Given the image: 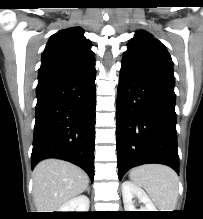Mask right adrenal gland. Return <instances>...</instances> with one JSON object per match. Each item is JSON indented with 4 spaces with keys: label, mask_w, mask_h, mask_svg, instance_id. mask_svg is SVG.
<instances>
[{
    "label": "right adrenal gland",
    "mask_w": 203,
    "mask_h": 219,
    "mask_svg": "<svg viewBox=\"0 0 203 219\" xmlns=\"http://www.w3.org/2000/svg\"><path fill=\"white\" fill-rule=\"evenodd\" d=\"M88 193H90V187L87 188Z\"/></svg>",
    "instance_id": "right-adrenal-gland-1"
}]
</instances>
